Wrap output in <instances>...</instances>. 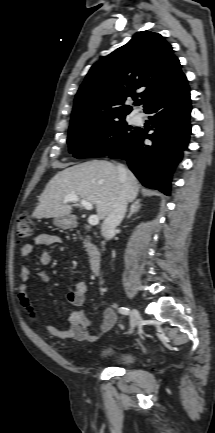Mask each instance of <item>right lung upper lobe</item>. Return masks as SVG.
Wrapping results in <instances>:
<instances>
[{"label":"right lung upper lobe","mask_w":215,"mask_h":433,"mask_svg":"<svg viewBox=\"0 0 215 433\" xmlns=\"http://www.w3.org/2000/svg\"><path fill=\"white\" fill-rule=\"evenodd\" d=\"M186 81L171 45L158 33L139 32L91 67L76 94L70 125L126 117L132 107L124 102L131 97L140 96L145 110Z\"/></svg>","instance_id":"1"}]
</instances>
